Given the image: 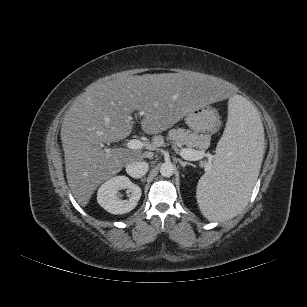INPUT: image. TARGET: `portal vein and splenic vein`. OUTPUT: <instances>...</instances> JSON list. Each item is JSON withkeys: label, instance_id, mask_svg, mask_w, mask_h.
Instances as JSON below:
<instances>
[{"label": "portal vein and splenic vein", "instance_id": "obj_1", "mask_svg": "<svg viewBox=\"0 0 307 307\" xmlns=\"http://www.w3.org/2000/svg\"><path fill=\"white\" fill-rule=\"evenodd\" d=\"M142 114L143 113H140V115ZM146 146H147L146 143L138 139H131L126 143V147L129 149H143ZM110 150H111L110 148H107L106 152L109 153ZM180 155L182 158L189 161H198L206 156V154L203 151L190 149V148H181ZM204 168L206 172H209L211 169V163L210 162L205 163Z\"/></svg>", "mask_w": 307, "mask_h": 307}]
</instances>
